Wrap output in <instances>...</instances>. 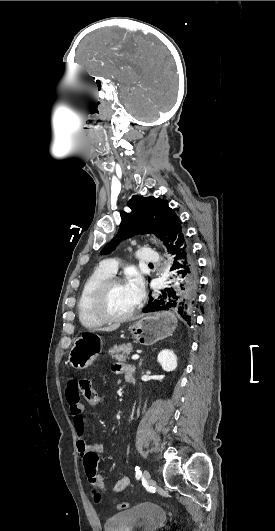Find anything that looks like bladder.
Masks as SVG:
<instances>
[{"label": "bladder", "instance_id": "1", "mask_svg": "<svg viewBox=\"0 0 275 531\" xmlns=\"http://www.w3.org/2000/svg\"><path fill=\"white\" fill-rule=\"evenodd\" d=\"M167 511L160 504L142 502L106 517L104 531H158L165 524Z\"/></svg>", "mask_w": 275, "mask_h": 531}]
</instances>
